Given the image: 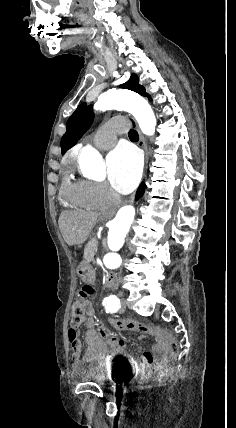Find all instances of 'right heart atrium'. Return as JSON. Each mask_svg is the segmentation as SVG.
Masks as SVG:
<instances>
[{"label":"right heart atrium","mask_w":236,"mask_h":428,"mask_svg":"<svg viewBox=\"0 0 236 428\" xmlns=\"http://www.w3.org/2000/svg\"><path fill=\"white\" fill-rule=\"evenodd\" d=\"M88 187L92 195L103 204L116 198L115 193L103 183L88 182Z\"/></svg>","instance_id":"d8ad5b80"}]
</instances>
